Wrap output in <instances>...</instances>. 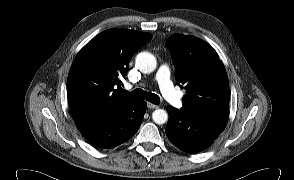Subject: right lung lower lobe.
Here are the masks:
<instances>
[{
    "mask_svg": "<svg viewBox=\"0 0 294 180\" xmlns=\"http://www.w3.org/2000/svg\"><path fill=\"white\" fill-rule=\"evenodd\" d=\"M146 106L144 101L132 100L102 119L78 124V128L91 144L100 148L115 147L138 131Z\"/></svg>",
    "mask_w": 294,
    "mask_h": 180,
    "instance_id": "98d812e1",
    "label": "right lung lower lobe"
}]
</instances>
